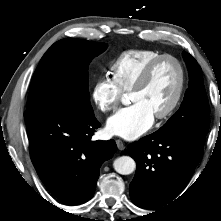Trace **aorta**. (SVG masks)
<instances>
[{
	"label": "aorta",
	"instance_id": "obj_1",
	"mask_svg": "<svg viewBox=\"0 0 221 221\" xmlns=\"http://www.w3.org/2000/svg\"><path fill=\"white\" fill-rule=\"evenodd\" d=\"M113 167L119 174L129 175L135 170L136 163L134 159L129 156H121L114 160Z\"/></svg>",
	"mask_w": 221,
	"mask_h": 221
}]
</instances>
